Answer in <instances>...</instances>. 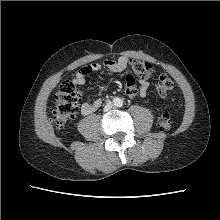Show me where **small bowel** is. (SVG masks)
I'll use <instances>...</instances> for the list:
<instances>
[{
	"mask_svg": "<svg viewBox=\"0 0 220 220\" xmlns=\"http://www.w3.org/2000/svg\"><path fill=\"white\" fill-rule=\"evenodd\" d=\"M128 59L124 56L119 57L118 59H108L104 62V66L113 73H120L124 71L128 66ZM101 69V65L99 63H92L85 65L79 69L76 73L75 77L73 78V83L76 85L82 86L86 83V79L89 74L92 72L98 71ZM139 89L137 86H127L125 85V93L130 97H134L136 95H140L141 97H145L147 95L149 89V82L144 79H139ZM102 104V99L97 98L90 102H84L81 105V114L87 116L93 112H95Z\"/></svg>",
	"mask_w": 220,
	"mask_h": 220,
	"instance_id": "small-bowel-1",
	"label": "small bowel"
}]
</instances>
